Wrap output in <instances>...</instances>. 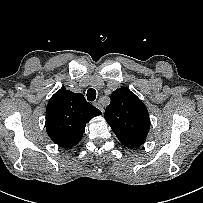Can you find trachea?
Returning <instances> with one entry per match:
<instances>
[{
    "label": "trachea",
    "instance_id": "obj_1",
    "mask_svg": "<svg viewBox=\"0 0 203 203\" xmlns=\"http://www.w3.org/2000/svg\"><path fill=\"white\" fill-rule=\"evenodd\" d=\"M87 99L89 101H94L96 99V90L95 89H93V88L88 89Z\"/></svg>",
    "mask_w": 203,
    "mask_h": 203
}]
</instances>
